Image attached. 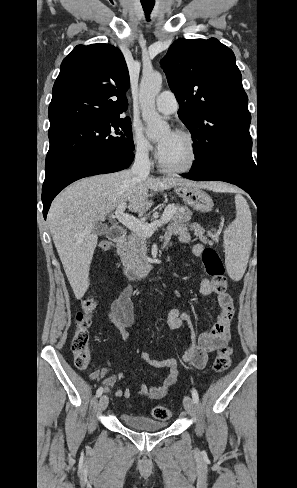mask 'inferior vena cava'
<instances>
[{"instance_id":"602c4592","label":"inferior vena cava","mask_w":297,"mask_h":488,"mask_svg":"<svg viewBox=\"0 0 297 488\" xmlns=\"http://www.w3.org/2000/svg\"><path fill=\"white\" fill-rule=\"evenodd\" d=\"M151 162L146 147H139L136 151L134 164L131 168L132 173L141 177H147L150 172Z\"/></svg>"}]
</instances>
